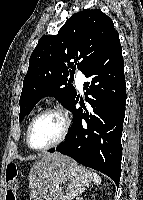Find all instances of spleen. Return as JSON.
Wrapping results in <instances>:
<instances>
[{"label":"spleen","mask_w":143,"mask_h":200,"mask_svg":"<svg viewBox=\"0 0 143 200\" xmlns=\"http://www.w3.org/2000/svg\"><path fill=\"white\" fill-rule=\"evenodd\" d=\"M93 176H94V183L95 184H100L101 183V177L97 174V173H93Z\"/></svg>","instance_id":"3e777b00"}]
</instances>
